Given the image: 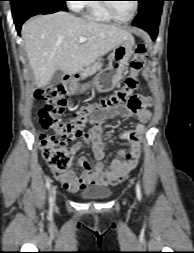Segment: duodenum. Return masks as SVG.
Instances as JSON below:
<instances>
[{"instance_id":"410a0bca","label":"duodenum","mask_w":194,"mask_h":253,"mask_svg":"<svg viewBox=\"0 0 194 253\" xmlns=\"http://www.w3.org/2000/svg\"><path fill=\"white\" fill-rule=\"evenodd\" d=\"M77 78H82V73L67 74L64 76L63 81L66 85H70Z\"/></svg>"}]
</instances>
